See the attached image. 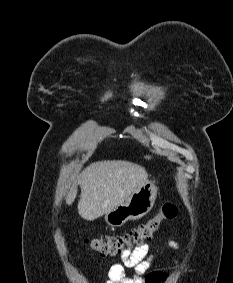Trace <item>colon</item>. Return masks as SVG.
I'll use <instances>...</instances> for the list:
<instances>
[{"instance_id": "obj_1", "label": "colon", "mask_w": 233, "mask_h": 283, "mask_svg": "<svg viewBox=\"0 0 233 283\" xmlns=\"http://www.w3.org/2000/svg\"><path fill=\"white\" fill-rule=\"evenodd\" d=\"M177 215L174 203L166 201L156 215L122 235H105L87 240L89 247L102 256H114L123 253L134 245L143 244L159 230L161 223L172 220Z\"/></svg>"}]
</instances>
